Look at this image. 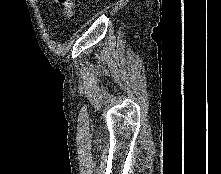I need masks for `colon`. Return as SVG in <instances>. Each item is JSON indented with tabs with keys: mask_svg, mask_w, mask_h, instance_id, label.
Listing matches in <instances>:
<instances>
[{
	"mask_svg": "<svg viewBox=\"0 0 221 174\" xmlns=\"http://www.w3.org/2000/svg\"><path fill=\"white\" fill-rule=\"evenodd\" d=\"M63 11V20L72 22L75 19L77 9L80 7L78 0H57Z\"/></svg>",
	"mask_w": 221,
	"mask_h": 174,
	"instance_id": "5ec220e1",
	"label": "colon"
}]
</instances>
